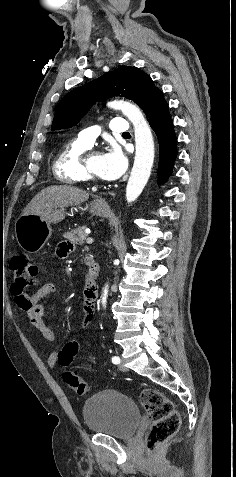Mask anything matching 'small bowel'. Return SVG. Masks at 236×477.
<instances>
[{
  "mask_svg": "<svg viewBox=\"0 0 236 477\" xmlns=\"http://www.w3.org/2000/svg\"><path fill=\"white\" fill-rule=\"evenodd\" d=\"M73 250V245L68 242H62L57 249V256L59 258L67 257ZM87 256L86 258H88ZM56 290V284L53 280H45L37 293L33 296L23 295L18 303V306L26 312L30 324L37 328L44 339L49 342L55 341V334L53 330L48 327L44 320L45 302L44 300L52 295ZM97 296L96 288L87 283L84 290V301L82 305V318L79 327L86 328L93 319V309ZM57 352H51L47 358L50 366L57 364Z\"/></svg>",
  "mask_w": 236,
  "mask_h": 477,
  "instance_id": "1",
  "label": "small bowel"
}]
</instances>
